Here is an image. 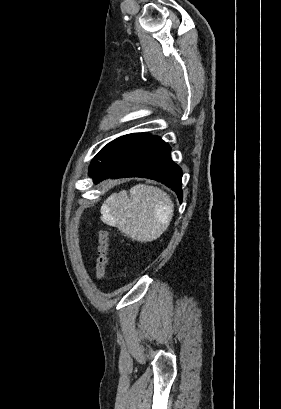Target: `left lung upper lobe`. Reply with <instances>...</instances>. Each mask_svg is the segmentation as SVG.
I'll return each instance as SVG.
<instances>
[{
  "instance_id": "obj_1",
  "label": "left lung upper lobe",
  "mask_w": 281,
  "mask_h": 409,
  "mask_svg": "<svg viewBox=\"0 0 281 409\" xmlns=\"http://www.w3.org/2000/svg\"><path fill=\"white\" fill-rule=\"evenodd\" d=\"M149 136L150 134L148 133L128 134L108 143L92 160L89 167V175L92 176L97 173L112 158Z\"/></svg>"
}]
</instances>
